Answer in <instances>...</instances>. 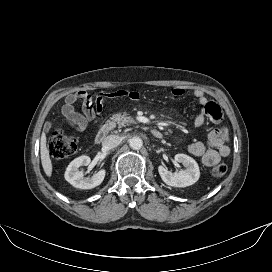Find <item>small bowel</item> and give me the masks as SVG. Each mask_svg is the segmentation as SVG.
<instances>
[{"mask_svg":"<svg viewBox=\"0 0 272 272\" xmlns=\"http://www.w3.org/2000/svg\"><path fill=\"white\" fill-rule=\"evenodd\" d=\"M175 97H182L185 90L182 87L176 86L171 90ZM193 95L201 105L200 112L196 115L194 123L196 126H202L206 121L218 123L221 120L222 112L219 105L206 98L203 91L197 89L193 91ZM125 98L130 100H138L139 93L132 90H117L114 92H99L95 96V106L93 99L86 91H78L69 94L64 101L62 113L68 124L77 131H84L88 122L92 121L103 110V104L108 99ZM78 101L82 103L83 114L75 110V105ZM227 130L222 127L213 128L207 137V140L193 142L188 146V151L194 156L201 159L202 163L208 167L216 165L221 158L227 157L230 153V148L227 144Z\"/></svg>","mask_w":272,"mask_h":272,"instance_id":"c3829d8e","label":"small bowel"}]
</instances>
